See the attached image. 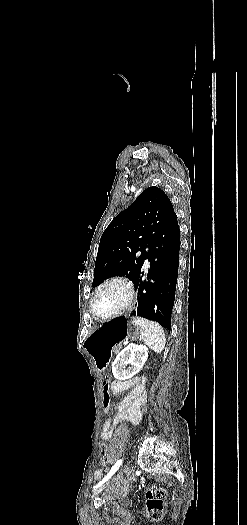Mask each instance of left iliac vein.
Segmentation results:
<instances>
[{"label": "left iliac vein", "mask_w": 247, "mask_h": 525, "mask_svg": "<svg viewBox=\"0 0 247 525\" xmlns=\"http://www.w3.org/2000/svg\"><path fill=\"white\" fill-rule=\"evenodd\" d=\"M120 471H121V470H119V471L116 473V475H114V476L112 477L111 480H113V479H114V478L120 473ZM109 483H110V480L107 481L106 483L100 485V486L94 491V493H93V495H92V498L97 497V496H98V495H99V494H100V493H101V492H102V491H103V490L109 485Z\"/></svg>", "instance_id": "left-iliac-vein-1"}]
</instances>
